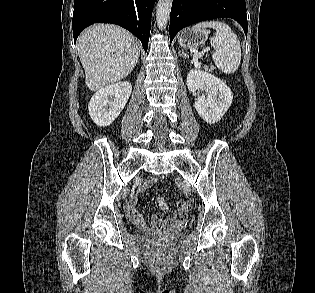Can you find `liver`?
Instances as JSON below:
<instances>
[{
    "instance_id": "1",
    "label": "liver",
    "mask_w": 315,
    "mask_h": 293,
    "mask_svg": "<svg viewBox=\"0 0 315 293\" xmlns=\"http://www.w3.org/2000/svg\"><path fill=\"white\" fill-rule=\"evenodd\" d=\"M77 49L91 91L114 84L134 69L140 53L138 40L127 30L112 24H97L85 29Z\"/></svg>"
}]
</instances>
